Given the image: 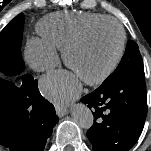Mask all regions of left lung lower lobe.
Wrapping results in <instances>:
<instances>
[{"instance_id":"0a47b994","label":"left lung lower lobe","mask_w":151,"mask_h":151,"mask_svg":"<svg viewBox=\"0 0 151 151\" xmlns=\"http://www.w3.org/2000/svg\"><path fill=\"white\" fill-rule=\"evenodd\" d=\"M80 101L93 110L95 121L87 131L93 151H128L139 139L147 115L144 69L132 70Z\"/></svg>"}]
</instances>
